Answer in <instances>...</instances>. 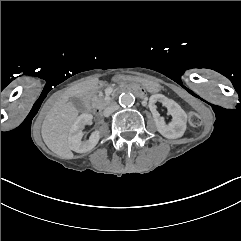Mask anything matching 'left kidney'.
Returning <instances> with one entry per match:
<instances>
[{
	"instance_id": "5707ae66",
	"label": "left kidney",
	"mask_w": 241,
	"mask_h": 241,
	"mask_svg": "<svg viewBox=\"0 0 241 241\" xmlns=\"http://www.w3.org/2000/svg\"><path fill=\"white\" fill-rule=\"evenodd\" d=\"M160 102L163 107L168 109V113L172 116V120L168 125L162 117H159L155 104ZM149 109L153 114L157 131L166 139L181 138L186 131L187 114L181 106L174 100L169 99L161 94L152 95L149 99Z\"/></svg>"
}]
</instances>
